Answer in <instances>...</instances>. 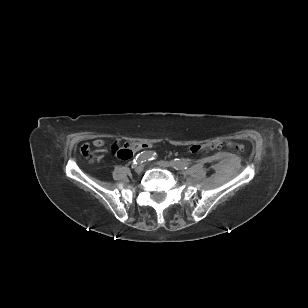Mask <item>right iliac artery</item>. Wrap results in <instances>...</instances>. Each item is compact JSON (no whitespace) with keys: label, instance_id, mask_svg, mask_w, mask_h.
Masks as SVG:
<instances>
[{"label":"right iliac artery","instance_id":"right-iliac-artery-1","mask_svg":"<svg viewBox=\"0 0 308 308\" xmlns=\"http://www.w3.org/2000/svg\"><path fill=\"white\" fill-rule=\"evenodd\" d=\"M156 157L157 154L153 151H143L136 156V158L134 159V164L151 161L154 160Z\"/></svg>","mask_w":308,"mask_h":308}]
</instances>
